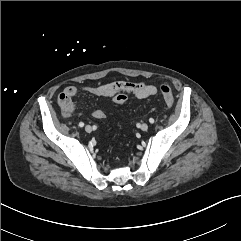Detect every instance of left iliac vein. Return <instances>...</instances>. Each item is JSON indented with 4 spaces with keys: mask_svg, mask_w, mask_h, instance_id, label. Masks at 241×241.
Here are the masks:
<instances>
[{
    "mask_svg": "<svg viewBox=\"0 0 241 241\" xmlns=\"http://www.w3.org/2000/svg\"><path fill=\"white\" fill-rule=\"evenodd\" d=\"M140 129L142 131H147L148 130V124H146V123L141 124Z\"/></svg>",
    "mask_w": 241,
    "mask_h": 241,
    "instance_id": "left-iliac-vein-1",
    "label": "left iliac vein"
}]
</instances>
